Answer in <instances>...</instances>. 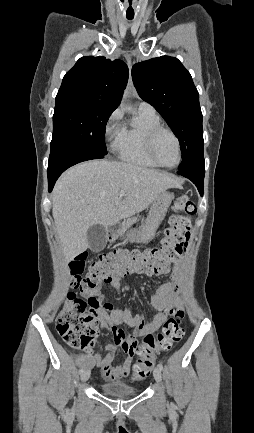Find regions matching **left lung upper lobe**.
I'll return each instance as SVG.
<instances>
[{"label":"left lung upper lobe","instance_id":"5c2ea615","mask_svg":"<svg viewBox=\"0 0 254 433\" xmlns=\"http://www.w3.org/2000/svg\"><path fill=\"white\" fill-rule=\"evenodd\" d=\"M132 78L139 96L179 139L183 159L178 170L205 172L202 112L190 73L177 58L161 56L135 64Z\"/></svg>","mask_w":254,"mask_h":433}]
</instances>
